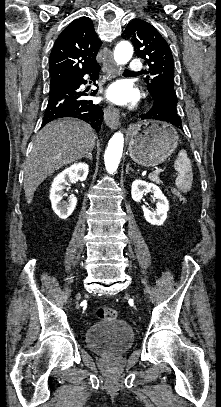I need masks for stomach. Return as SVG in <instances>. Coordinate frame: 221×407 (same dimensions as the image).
<instances>
[{"label":"stomach","instance_id":"1","mask_svg":"<svg viewBox=\"0 0 221 407\" xmlns=\"http://www.w3.org/2000/svg\"><path fill=\"white\" fill-rule=\"evenodd\" d=\"M179 136L175 128L165 122L143 121L130 131L129 155L144 167L163 163L177 148Z\"/></svg>","mask_w":221,"mask_h":407}]
</instances>
